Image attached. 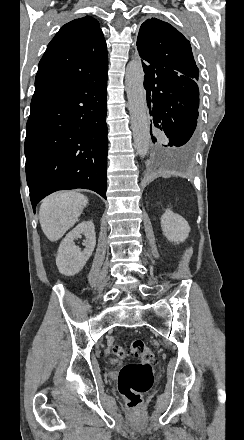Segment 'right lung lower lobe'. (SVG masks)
I'll use <instances>...</instances> for the list:
<instances>
[{"mask_svg": "<svg viewBox=\"0 0 244 440\" xmlns=\"http://www.w3.org/2000/svg\"><path fill=\"white\" fill-rule=\"evenodd\" d=\"M107 71L89 69L35 86L26 125V178L33 208L57 190L106 199Z\"/></svg>", "mask_w": 244, "mask_h": 440, "instance_id": "obj_1", "label": "right lung lower lobe"}]
</instances>
